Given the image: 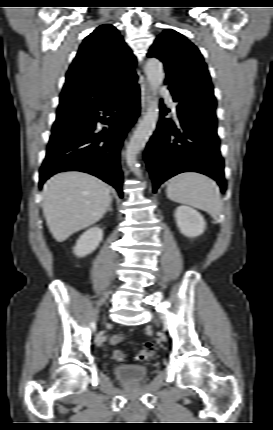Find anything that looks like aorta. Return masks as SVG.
I'll list each match as a JSON object with an SVG mask.
<instances>
[{
	"instance_id": "1",
	"label": "aorta",
	"mask_w": 273,
	"mask_h": 430,
	"mask_svg": "<svg viewBox=\"0 0 273 430\" xmlns=\"http://www.w3.org/2000/svg\"><path fill=\"white\" fill-rule=\"evenodd\" d=\"M146 75L148 82L151 86L153 95L156 96L159 86L162 84L165 73L163 71V64L158 59H150L146 66ZM159 117V107L157 99L152 100L147 109L143 120L139 123L129 143L126 145V162L127 165L141 178L142 174L138 168L137 155L142 148L146 145L149 137L152 135L156 128L157 120Z\"/></svg>"
}]
</instances>
